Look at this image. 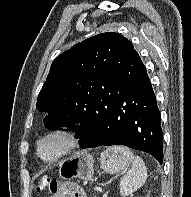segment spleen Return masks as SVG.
Listing matches in <instances>:
<instances>
[{"instance_id":"obj_1","label":"spleen","mask_w":191,"mask_h":197,"mask_svg":"<svg viewBox=\"0 0 191 197\" xmlns=\"http://www.w3.org/2000/svg\"><path fill=\"white\" fill-rule=\"evenodd\" d=\"M115 156V160L123 162L125 166L129 163L132 167L120 181V193L122 196H128L144 185L147 179V169L144 161L139 156H134L129 148L123 146H114L108 149Z\"/></svg>"}]
</instances>
